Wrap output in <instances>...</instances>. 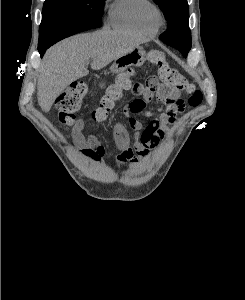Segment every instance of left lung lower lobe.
I'll use <instances>...</instances> for the list:
<instances>
[{
	"label": "left lung lower lobe",
	"mask_w": 245,
	"mask_h": 300,
	"mask_svg": "<svg viewBox=\"0 0 245 300\" xmlns=\"http://www.w3.org/2000/svg\"><path fill=\"white\" fill-rule=\"evenodd\" d=\"M176 49H178L179 51H181V53L183 54L184 57L187 56L188 53L186 51H184L182 47L178 46Z\"/></svg>",
	"instance_id": "0a47b994"
}]
</instances>
